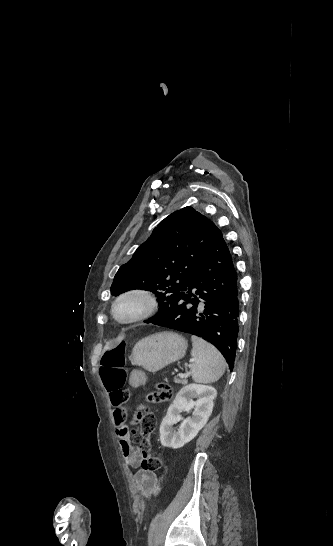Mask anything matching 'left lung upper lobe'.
<instances>
[{"label":"left lung upper lobe","mask_w":333,"mask_h":546,"mask_svg":"<svg viewBox=\"0 0 333 546\" xmlns=\"http://www.w3.org/2000/svg\"><path fill=\"white\" fill-rule=\"evenodd\" d=\"M218 228L191 207L178 210L153 230L132 259L116 273L111 293L144 289L152 291L159 302L155 319L166 313L172 297L183 293L215 240Z\"/></svg>","instance_id":"obj_1"}]
</instances>
